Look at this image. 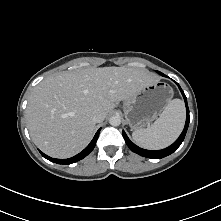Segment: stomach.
<instances>
[{
    "label": "stomach",
    "instance_id": "0dacf381",
    "mask_svg": "<svg viewBox=\"0 0 221 221\" xmlns=\"http://www.w3.org/2000/svg\"><path fill=\"white\" fill-rule=\"evenodd\" d=\"M173 97V89L165 82L157 81L142 86L125 100L123 108L132 130H139L156 119Z\"/></svg>",
    "mask_w": 221,
    "mask_h": 221
}]
</instances>
